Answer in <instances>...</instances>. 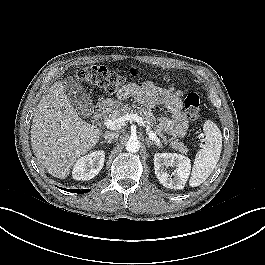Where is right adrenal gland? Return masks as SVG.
<instances>
[{"instance_id": "2a0ac1e0", "label": "right adrenal gland", "mask_w": 265, "mask_h": 265, "mask_svg": "<svg viewBox=\"0 0 265 265\" xmlns=\"http://www.w3.org/2000/svg\"><path fill=\"white\" fill-rule=\"evenodd\" d=\"M112 141H110V140H104V141H102L101 143H111Z\"/></svg>"}]
</instances>
